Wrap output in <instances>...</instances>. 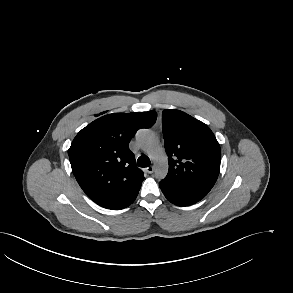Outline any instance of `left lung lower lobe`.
Masks as SVG:
<instances>
[{
	"label": "left lung lower lobe",
	"mask_w": 293,
	"mask_h": 293,
	"mask_svg": "<svg viewBox=\"0 0 293 293\" xmlns=\"http://www.w3.org/2000/svg\"><path fill=\"white\" fill-rule=\"evenodd\" d=\"M159 186L165 195V197L173 204L177 206H189L201 199H203L207 194L197 193L192 190L177 188L169 185L163 181L159 182Z\"/></svg>",
	"instance_id": "obj_1"
}]
</instances>
